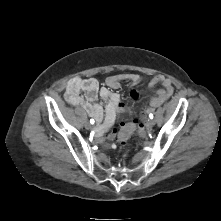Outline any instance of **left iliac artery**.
Here are the masks:
<instances>
[{"instance_id": "1", "label": "left iliac artery", "mask_w": 221, "mask_h": 221, "mask_svg": "<svg viewBox=\"0 0 221 221\" xmlns=\"http://www.w3.org/2000/svg\"><path fill=\"white\" fill-rule=\"evenodd\" d=\"M149 117H150L151 119H153V114L151 113V114L149 115Z\"/></svg>"}]
</instances>
